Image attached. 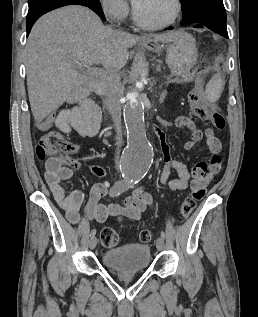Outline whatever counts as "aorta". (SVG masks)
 Masks as SVG:
<instances>
[{
	"label": "aorta",
	"instance_id": "aorta-1",
	"mask_svg": "<svg viewBox=\"0 0 258 317\" xmlns=\"http://www.w3.org/2000/svg\"><path fill=\"white\" fill-rule=\"evenodd\" d=\"M137 87L141 83L136 84ZM123 116L127 130V146L121 157L120 169L124 178L140 180L148 172L153 161L151 144L147 140L144 122V106L137 91L127 94Z\"/></svg>",
	"mask_w": 258,
	"mask_h": 317
}]
</instances>
